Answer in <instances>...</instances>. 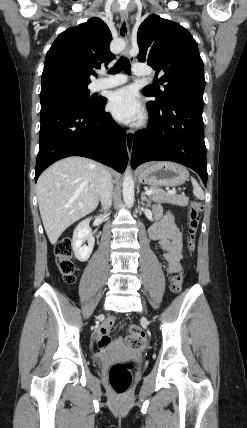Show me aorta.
<instances>
[{
    "label": "aorta",
    "instance_id": "aorta-1",
    "mask_svg": "<svg viewBox=\"0 0 247 428\" xmlns=\"http://www.w3.org/2000/svg\"><path fill=\"white\" fill-rule=\"evenodd\" d=\"M123 49V47L121 48ZM134 55V52H130ZM123 200L128 207H132L134 204V181L129 170L125 172L122 183Z\"/></svg>",
    "mask_w": 247,
    "mask_h": 428
}]
</instances>
